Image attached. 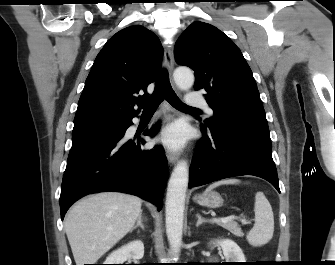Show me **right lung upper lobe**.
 I'll use <instances>...</instances> for the list:
<instances>
[{
    "instance_id": "obj_1",
    "label": "right lung upper lobe",
    "mask_w": 335,
    "mask_h": 265,
    "mask_svg": "<svg viewBox=\"0 0 335 265\" xmlns=\"http://www.w3.org/2000/svg\"><path fill=\"white\" fill-rule=\"evenodd\" d=\"M158 37L143 26L124 28L97 55L78 102L74 126L125 123L139 113L161 65ZM144 92L143 96H137Z\"/></svg>"
}]
</instances>
